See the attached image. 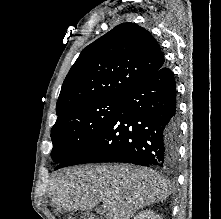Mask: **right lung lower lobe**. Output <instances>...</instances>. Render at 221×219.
<instances>
[{"instance_id": "right-lung-lower-lobe-1", "label": "right lung lower lobe", "mask_w": 221, "mask_h": 219, "mask_svg": "<svg viewBox=\"0 0 221 219\" xmlns=\"http://www.w3.org/2000/svg\"><path fill=\"white\" fill-rule=\"evenodd\" d=\"M179 135L176 83L163 66L132 87L99 134L56 169L95 162L171 168L178 157Z\"/></svg>"}]
</instances>
